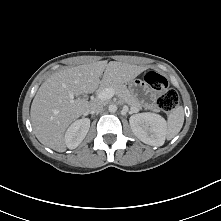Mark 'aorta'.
I'll use <instances>...</instances> for the list:
<instances>
[{
    "label": "aorta",
    "mask_w": 221,
    "mask_h": 221,
    "mask_svg": "<svg viewBox=\"0 0 221 221\" xmlns=\"http://www.w3.org/2000/svg\"><path fill=\"white\" fill-rule=\"evenodd\" d=\"M110 113H115L117 111V106L115 104H111L108 107Z\"/></svg>",
    "instance_id": "1"
}]
</instances>
